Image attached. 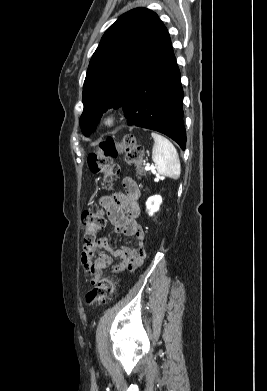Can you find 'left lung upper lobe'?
Wrapping results in <instances>:
<instances>
[{
	"instance_id": "5c2ea615",
	"label": "left lung upper lobe",
	"mask_w": 267,
	"mask_h": 391,
	"mask_svg": "<svg viewBox=\"0 0 267 391\" xmlns=\"http://www.w3.org/2000/svg\"><path fill=\"white\" fill-rule=\"evenodd\" d=\"M171 45L157 14L136 8L120 16L105 32L94 52L83 86L80 126L93 132L103 113L119 108L155 60Z\"/></svg>"
}]
</instances>
